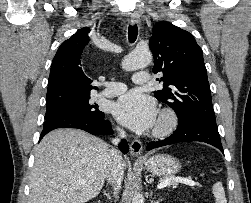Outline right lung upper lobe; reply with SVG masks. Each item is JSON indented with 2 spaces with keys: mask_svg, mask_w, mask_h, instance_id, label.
<instances>
[{
  "mask_svg": "<svg viewBox=\"0 0 251 203\" xmlns=\"http://www.w3.org/2000/svg\"><path fill=\"white\" fill-rule=\"evenodd\" d=\"M89 32L88 27L79 29L58 48L51 65L46 108L90 98V91L95 87L90 85L92 80L83 72L81 64Z\"/></svg>",
  "mask_w": 251,
  "mask_h": 203,
  "instance_id": "obj_1",
  "label": "right lung upper lobe"
}]
</instances>
